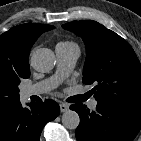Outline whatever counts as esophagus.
Instances as JSON below:
<instances>
[{
    "label": "esophagus",
    "mask_w": 141,
    "mask_h": 141,
    "mask_svg": "<svg viewBox=\"0 0 141 141\" xmlns=\"http://www.w3.org/2000/svg\"><path fill=\"white\" fill-rule=\"evenodd\" d=\"M69 109V105L65 103L60 104V110L61 112H66Z\"/></svg>",
    "instance_id": "esophagus-1"
}]
</instances>
